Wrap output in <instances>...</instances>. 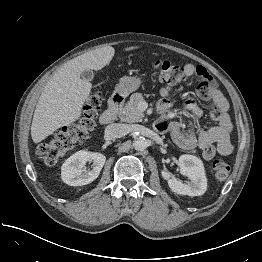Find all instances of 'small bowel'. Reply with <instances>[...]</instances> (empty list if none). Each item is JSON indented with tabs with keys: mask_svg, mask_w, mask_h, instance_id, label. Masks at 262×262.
<instances>
[{
	"mask_svg": "<svg viewBox=\"0 0 262 262\" xmlns=\"http://www.w3.org/2000/svg\"><path fill=\"white\" fill-rule=\"evenodd\" d=\"M184 71L187 76L196 74L199 77L198 95L203 100L212 102L210 118L218 125L209 129L201 128L199 121L202 111L192 100H188L186 108L190 114V133H183L180 123L173 120L175 113L169 111L171 102L168 97L171 89L163 87L160 91L162 100L159 103L160 116L156 122V129L161 133L169 132L172 139L184 149L198 148L206 160L212 159L217 153L231 152L232 123L227 113L229 104L226 97L204 67L188 63L184 65Z\"/></svg>",
	"mask_w": 262,
	"mask_h": 262,
	"instance_id": "small-bowel-1",
	"label": "small bowel"
}]
</instances>
